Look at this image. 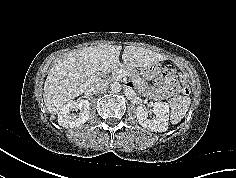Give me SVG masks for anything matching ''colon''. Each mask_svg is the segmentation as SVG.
<instances>
[{
	"mask_svg": "<svg viewBox=\"0 0 236 178\" xmlns=\"http://www.w3.org/2000/svg\"><path fill=\"white\" fill-rule=\"evenodd\" d=\"M175 74V70L174 69H164L163 70V77L168 79L170 78L171 76H173ZM190 91L189 89V86L187 84H185L183 87H182V92L184 94H188Z\"/></svg>",
	"mask_w": 236,
	"mask_h": 178,
	"instance_id": "5ec220e1",
	"label": "colon"
}]
</instances>
